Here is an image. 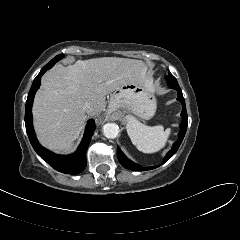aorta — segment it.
<instances>
[{"label": "aorta", "mask_w": 240, "mask_h": 240, "mask_svg": "<svg viewBox=\"0 0 240 240\" xmlns=\"http://www.w3.org/2000/svg\"><path fill=\"white\" fill-rule=\"evenodd\" d=\"M119 127L114 123H107L103 126V134L106 138L113 139L118 136Z\"/></svg>", "instance_id": "aorta-1"}]
</instances>
